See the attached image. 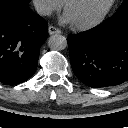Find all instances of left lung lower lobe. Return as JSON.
Here are the masks:
<instances>
[{
  "label": "left lung lower lobe",
  "instance_id": "obj_1",
  "mask_svg": "<svg viewBox=\"0 0 128 128\" xmlns=\"http://www.w3.org/2000/svg\"><path fill=\"white\" fill-rule=\"evenodd\" d=\"M74 74L92 88L128 80V10L115 13L100 25L68 38Z\"/></svg>",
  "mask_w": 128,
  "mask_h": 128
}]
</instances>
